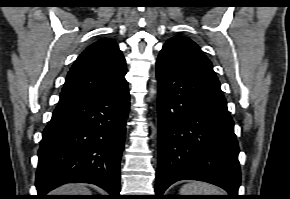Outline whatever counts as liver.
Instances as JSON below:
<instances>
[{
    "mask_svg": "<svg viewBox=\"0 0 290 199\" xmlns=\"http://www.w3.org/2000/svg\"><path fill=\"white\" fill-rule=\"evenodd\" d=\"M56 195H90V190L83 184H67L54 191Z\"/></svg>",
    "mask_w": 290,
    "mask_h": 199,
    "instance_id": "6515ba94",
    "label": "liver"
}]
</instances>
